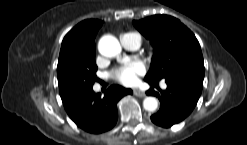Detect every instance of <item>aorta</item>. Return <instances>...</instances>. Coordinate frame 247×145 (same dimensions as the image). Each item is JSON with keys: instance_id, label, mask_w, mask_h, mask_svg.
I'll return each mask as SVG.
<instances>
[{"instance_id": "762f6f07", "label": "aorta", "mask_w": 247, "mask_h": 145, "mask_svg": "<svg viewBox=\"0 0 247 145\" xmlns=\"http://www.w3.org/2000/svg\"><path fill=\"white\" fill-rule=\"evenodd\" d=\"M99 52L106 57H115L121 53V45L112 35L103 36L98 43ZM143 107L146 111H155L158 108V101L155 97H146L143 100Z\"/></svg>"}]
</instances>
